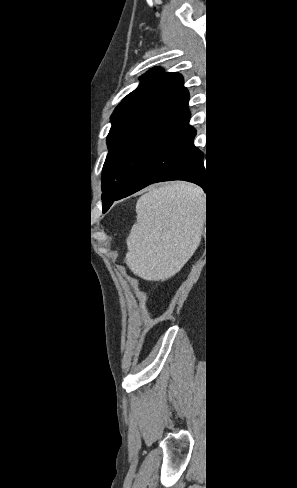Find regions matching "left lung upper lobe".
Listing matches in <instances>:
<instances>
[{"label":"left lung upper lobe","instance_id":"5c2ea615","mask_svg":"<svg viewBox=\"0 0 297 488\" xmlns=\"http://www.w3.org/2000/svg\"><path fill=\"white\" fill-rule=\"evenodd\" d=\"M137 89L115 108L103 167V209L137 171L169 140L188 126L189 92L178 73L153 68Z\"/></svg>","mask_w":297,"mask_h":488}]
</instances>
